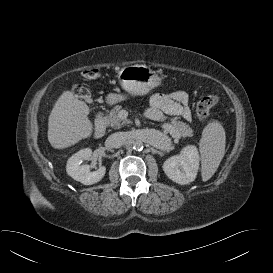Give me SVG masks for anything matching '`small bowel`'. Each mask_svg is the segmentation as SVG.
I'll return each instance as SVG.
<instances>
[{
    "label": "small bowel",
    "mask_w": 273,
    "mask_h": 273,
    "mask_svg": "<svg viewBox=\"0 0 273 273\" xmlns=\"http://www.w3.org/2000/svg\"><path fill=\"white\" fill-rule=\"evenodd\" d=\"M148 114L151 119L157 121H162L165 115L190 121L192 115L189 107V97L183 91L154 94L150 98Z\"/></svg>",
    "instance_id": "small-bowel-1"
}]
</instances>
